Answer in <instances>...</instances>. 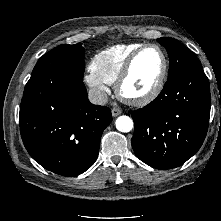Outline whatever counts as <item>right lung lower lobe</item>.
Returning a JSON list of instances; mask_svg holds the SVG:
<instances>
[{"label": "right lung lower lobe", "mask_w": 221, "mask_h": 221, "mask_svg": "<svg viewBox=\"0 0 221 221\" xmlns=\"http://www.w3.org/2000/svg\"><path fill=\"white\" fill-rule=\"evenodd\" d=\"M112 121L108 107L89 102L82 80L32 79L20 106V132L31 157L47 170L77 176L97 159Z\"/></svg>", "instance_id": "1"}]
</instances>
